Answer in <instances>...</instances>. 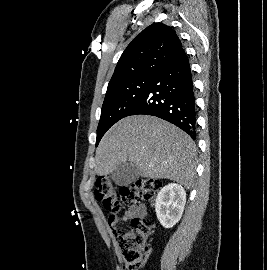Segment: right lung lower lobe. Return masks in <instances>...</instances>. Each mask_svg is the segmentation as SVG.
I'll use <instances>...</instances> for the list:
<instances>
[{
	"label": "right lung lower lobe",
	"instance_id": "obj_1",
	"mask_svg": "<svg viewBox=\"0 0 267 270\" xmlns=\"http://www.w3.org/2000/svg\"><path fill=\"white\" fill-rule=\"evenodd\" d=\"M137 114L162 118L196 138L192 74L183 48L156 72L147 91L127 116Z\"/></svg>",
	"mask_w": 267,
	"mask_h": 270
}]
</instances>
